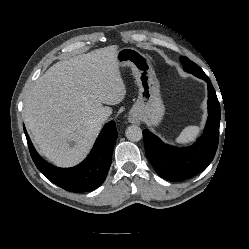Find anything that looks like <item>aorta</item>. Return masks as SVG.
<instances>
[{"label": "aorta", "instance_id": "aorta-1", "mask_svg": "<svg viewBox=\"0 0 249 249\" xmlns=\"http://www.w3.org/2000/svg\"><path fill=\"white\" fill-rule=\"evenodd\" d=\"M125 135L128 140L132 142H138L142 139V130L137 125H131L127 127Z\"/></svg>", "mask_w": 249, "mask_h": 249}]
</instances>
